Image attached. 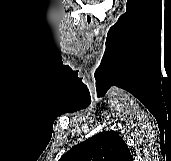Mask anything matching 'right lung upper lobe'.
Returning <instances> with one entry per match:
<instances>
[{
  "mask_svg": "<svg viewBox=\"0 0 171 161\" xmlns=\"http://www.w3.org/2000/svg\"><path fill=\"white\" fill-rule=\"evenodd\" d=\"M59 161H133L119 133L100 132L67 151Z\"/></svg>",
  "mask_w": 171,
  "mask_h": 161,
  "instance_id": "right-lung-upper-lobe-1",
  "label": "right lung upper lobe"
}]
</instances>
